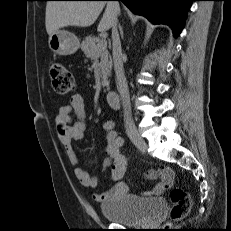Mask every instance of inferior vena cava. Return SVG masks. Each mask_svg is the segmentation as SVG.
<instances>
[{
	"instance_id": "1",
	"label": "inferior vena cava",
	"mask_w": 231,
	"mask_h": 231,
	"mask_svg": "<svg viewBox=\"0 0 231 231\" xmlns=\"http://www.w3.org/2000/svg\"><path fill=\"white\" fill-rule=\"evenodd\" d=\"M114 5L119 7L117 1H114ZM112 41H113L112 54H113L114 70L116 74L118 90L120 92L121 99H122V105L124 110V122L126 126H133L134 123L131 116L130 96H129L128 84L123 70L122 49H121V42L117 30L116 20L113 22L112 25Z\"/></svg>"
}]
</instances>
